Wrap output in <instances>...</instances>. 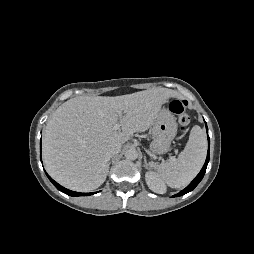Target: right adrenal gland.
I'll return each mask as SVG.
<instances>
[{
  "label": "right adrenal gland",
  "instance_id": "2a0ac1e0",
  "mask_svg": "<svg viewBox=\"0 0 254 254\" xmlns=\"http://www.w3.org/2000/svg\"><path fill=\"white\" fill-rule=\"evenodd\" d=\"M110 162L108 163V170H109Z\"/></svg>",
  "mask_w": 254,
  "mask_h": 254
}]
</instances>
